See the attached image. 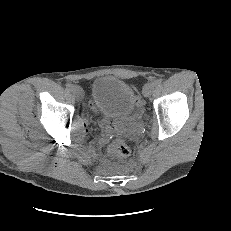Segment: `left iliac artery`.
I'll return each instance as SVG.
<instances>
[{
  "instance_id": "obj_1",
  "label": "left iliac artery",
  "mask_w": 231,
  "mask_h": 231,
  "mask_svg": "<svg viewBox=\"0 0 231 231\" xmlns=\"http://www.w3.org/2000/svg\"><path fill=\"white\" fill-rule=\"evenodd\" d=\"M154 86H159L161 84V79H156L153 81Z\"/></svg>"
}]
</instances>
